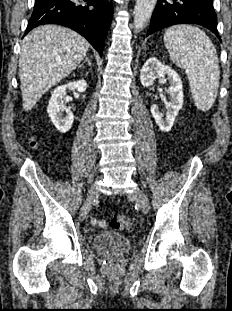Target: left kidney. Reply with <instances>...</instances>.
I'll use <instances>...</instances> for the list:
<instances>
[{
	"mask_svg": "<svg viewBox=\"0 0 232 311\" xmlns=\"http://www.w3.org/2000/svg\"><path fill=\"white\" fill-rule=\"evenodd\" d=\"M169 81L168 92L171 96L167 107L166 118L159 111L156 104L151 106V113L163 132H169L174 124V120L183 105L182 81L178 73L171 67L162 64L157 58H149L143 65L140 73V80L144 87L154 84L156 79L162 78Z\"/></svg>",
	"mask_w": 232,
	"mask_h": 311,
	"instance_id": "left-kidney-1",
	"label": "left kidney"
}]
</instances>
